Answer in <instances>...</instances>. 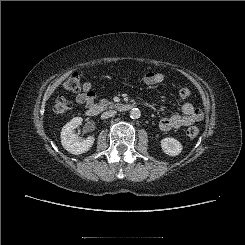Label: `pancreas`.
Masks as SVG:
<instances>
[{"mask_svg":"<svg viewBox=\"0 0 245 245\" xmlns=\"http://www.w3.org/2000/svg\"><path fill=\"white\" fill-rule=\"evenodd\" d=\"M100 106H102L104 109L110 108L113 109L116 107V105L113 102L108 101L107 99H101L100 100Z\"/></svg>","mask_w":245,"mask_h":245,"instance_id":"pancreas-1","label":"pancreas"}]
</instances>
